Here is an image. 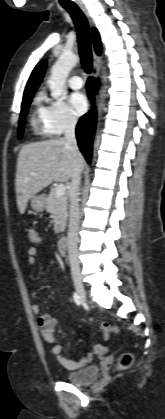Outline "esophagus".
Wrapping results in <instances>:
<instances>
[{"label": "esophagus", "instance_id": "esophagus-1", "mask_svg": "<svg viewBox=\"0 0 165 419\" xmlns=\"http://www.w3.org/2000/svg\"><path fill=\"white\" fill-rule=\"evenodd\" d=\"M80 8L82 9V11L84 12V14L88 18L89 23H90V26L93 27L94 26V20L90 16V13L87 10V8L85 6H83V5H80ZM92 57H93L92 75H93V77L97 78L98 75H99L98 64L100 63V57L96 54V52L94 50V47L92 49Z\"/></svg>", "mask_w": 165, "mask_h": 419}]
</instances>
